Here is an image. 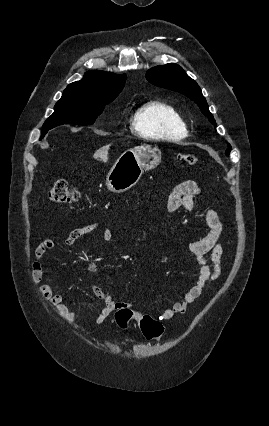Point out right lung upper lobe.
Listing matches in <instances>:
<instances>
[{
  "label": "right lung upper lobe",
  "mask_w": 269,
  "mask_h": 426,
  "mask_svg": "<svg viewBox=\"0 0 269 426\" xmlns=\"http://www.w3.org/2000/svg\"><path fill=\"white\" fill-rule=\"evenodd\" d=\"M125 80V74L116 75L105 71H89L82 80L69 84L63 93L116 98L123 89Z\"/></svg>",
  "instance_id": "right-lung-upper-lobe-1"
}]
</instances>
